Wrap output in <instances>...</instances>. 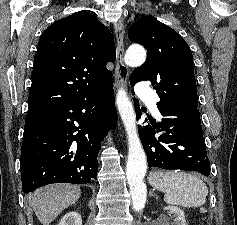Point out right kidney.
Instances as JSON below:
<instances>
[{"label": "right kidney", "instance_id": "right-kidney-1", "mask_svg": "<svg viewBox=\"0 0 237 225\" xmlns=\"http://www.w3.org/2000/svg\"><path fill=\"white\" fill-rule=\"evenodd\" d=\"M57 225H82L81 215L75 211L68 212Z\"/></svg>", "mask_w": 237, "mask_h": 225}]
</instances>
